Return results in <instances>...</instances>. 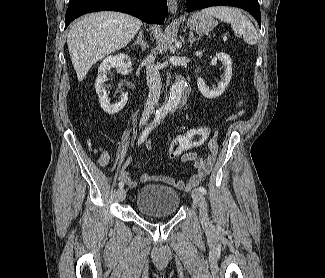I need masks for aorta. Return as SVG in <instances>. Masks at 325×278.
Masks as SVG:
<instances>
[{
	"instance_id": "762f6f07",
	"label": "aorta",
	"mask_w": 325,
	"mask_h": 278,
	"mask_svg": "<svg viewBox=\"0 0 325 278\" xmlns=\"http://www.w3.org/2000/svg\"><path fill=\"white\" fill-rule=\"evenodd\" d=\"M186 81L183 77L177 76L175 83L170 88L167 102L156 112L155 120L161 121L171 110L178 107L186 90Z\"/></svg>"
}]
</instances>
